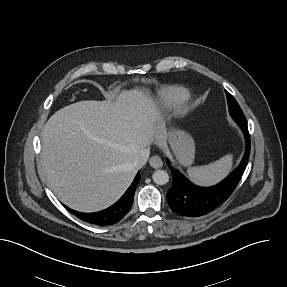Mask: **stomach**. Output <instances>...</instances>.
Returning a JSON list of instances; mask_svg holds the SVG:
<instances>
[{
	"label": "stomach",
	"mask_w": 287,
	"mask_h": 287,
	"mask_svg": "<svg viewBox=\"0 0 287 287\" xmlns=\"http://www.w3.org/2000/svg\"><path fill=\"white\" fill-rule=\"evenodd\" d=\"M141 91L144 92L151 102L155 104L154 91L150 86L143 87ZM168 140L180 164L184 166L192 164L195 153V146L192 137L184 131L174 130L169 134Z\"/></svg>",
	"instance_id": "stomach-1"
}]
</instances>
